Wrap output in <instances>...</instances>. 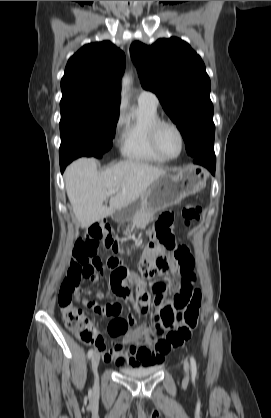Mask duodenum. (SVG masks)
Returning <instances> with one entry per match:
<instances>
[{
  "instance_id": "obj_1",
  "label": "duodenum",
  "mask_w": 271,
  "mask_h": 418,
  "mask_svg": "<svg viewBox=\"0 0 271 418\" xmlns=\"http://www.w3.org/2000/svg\"><path fill=\"white\" fill-rule=\"evenodd\" d=\"M113 218H114L116 221H121V220H123V219H124V213H123L122 211H117V212H115V213H114ZM113 264H114V265H118L119 263H118V261H117V260H113Z\"/></svg>"
}]
</instances>
